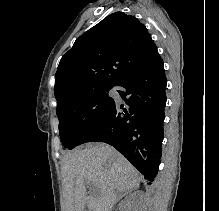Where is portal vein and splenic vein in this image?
<instances>
[{"mask_svg": "<svg viewBox=\"0 0 219 211\" xmlns=\"http://www.w3.org/2000/svg\"><path fill=\"white\" fill-rule=\"evenodd\" d=\"M87 183H90V179H88ZM93 193H98V187H94Z\"/></svg>", "mask_w": 219, "mask_h": 211, "instance_id": "1", "label": "portal vein and splenic vein"}]
</instances>
